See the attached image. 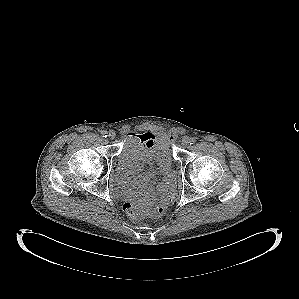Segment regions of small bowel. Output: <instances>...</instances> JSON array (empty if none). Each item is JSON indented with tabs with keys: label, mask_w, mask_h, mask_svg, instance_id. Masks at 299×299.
Instances as JSON below:
<instances>
[{
	"label": "small bowel",
	"mask_w": 299,
	"mask_h": 299,
	"mask_svg": "<svg viewBox=\"0 0 299 299\" xmlns=\"http://www.w3.org/2000/svg\"><path fill=\"white\" fill-rule=\"evenodd\" d=\"M129 136H134L139 139V141L145 146L149 147L155 138V136L151 133H144V134H134L130 133ZM152 163V158H150L147 155H141L137 158L135 162V173H138L142 170L144 164H151ZM159 168L161 172L164 175L163 181L158 184L156 188L155 195L157 197H164L166 196L171 189L173 188L174 185V177L171 171V166L165 162H158ZM155 178V173L154 172H148L143 175H141L134 183L133 188H128L126 187V192L128 195L133 196L137 193H142V192H149L151 191V183Z\"/></svg>",
	"instance_id": "obj_1"
}]
</instances>
